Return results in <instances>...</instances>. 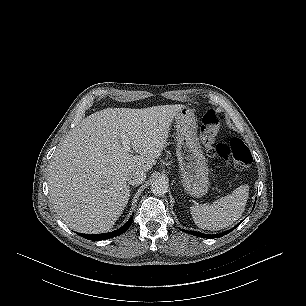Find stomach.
Masks as SVG:
<instances>
[{
    "label": "stomach",
    "mask_w": 306,
    "mask_h": 306,
    "mask_svg": "<svg viewBox=\"0 0 306 306\" xmlns=\"http://www.w3.org/2000/svg\"><path fill=\"white\" fill-rule=\"evenodd\" d=\"M175 122L181 184L189 195L202 197L209 188V169L197 136L193 111L184 107L176 115Z\"/></svg>",
    "instance_id": "0dacf381"
}]
</instances>
